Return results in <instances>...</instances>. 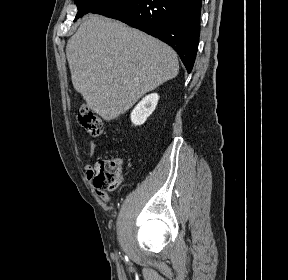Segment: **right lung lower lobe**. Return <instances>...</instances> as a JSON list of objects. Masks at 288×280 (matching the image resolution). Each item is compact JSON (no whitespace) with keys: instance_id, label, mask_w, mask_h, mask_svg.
I'll use <instances>...</instances> for the list:
<instances>
[{"instance_id":"right-lung-lower-lobe-1","label":"right lung lower lobe","mask_w":288,"mask_h":280,"mask_svg":"<svg viewBox=\"0 0 288 280\" xmlns=\"http://www.w3.org/2000/svg\"><path fill=\"white\" fill-rule=\"evenodd\" d=\"M202 0H109L91 13L120 20L170 45L191 72L200 35Z\"/></svg>"}]
</instances>
